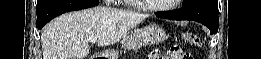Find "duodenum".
Here are the masks:
<instances>
[{"label": "duodenum", "instance_id": "duodenum-1", "mask_svg": "<svg viewBox=\"0 0 261 59\" xmlns=\"http://www.w3.org/2000/svg\"><path fill=\"white\" fill-rule=\"evenodd\" d=\"M92 59H107L108 57L105 54H94L92 57Z\"/></svg>", "mask_w": 261, "mask_h": 59}]
</instances>
